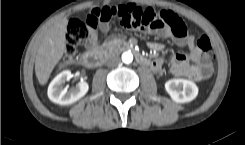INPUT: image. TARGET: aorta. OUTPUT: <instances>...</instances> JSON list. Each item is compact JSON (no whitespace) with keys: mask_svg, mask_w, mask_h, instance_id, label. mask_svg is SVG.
I'll return each instance as SVG.
<instances>
[{"mask_svg":"<svg viewBox=\"0 0 245 145\" xmlns=\"http://www.w3.org/2000/svg\"><path fill=\"white\" fill-rule=\"evenodd\" d=\"M132 60H133V55H132L131 52H124V53L122 54V61H123L124 63L129 64V63L132 62Z\"/></svg>","mask_w":245,"mask_h":145,"instance_id":"obj_1","label":"aorta"}]
</instances>
